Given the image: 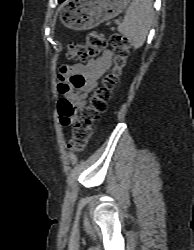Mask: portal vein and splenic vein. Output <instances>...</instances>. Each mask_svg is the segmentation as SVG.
Returning a JSON list of instances; mask_svg holds the SVG:
<instances>
[{
  "mask_svg": "<svg viewBox=\"0 0 194 250\" xmlns=\"http://www.w3.org/2000/svg\"><path fill=\"white\" fill-rule=\"evenodd\" d=\"M119 23H120V21H119V20H117V21H116V24H119Z\"/></svg>",
  "mask_w": 194,
  "mask_h": 250,
  "instance_id": "obj_1",
  "label": "portal vein and splenic vein"
}]
</instances>
